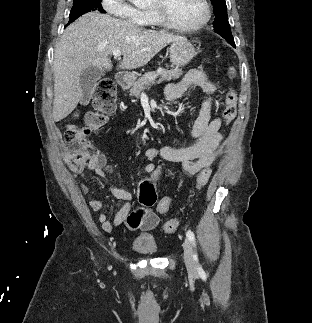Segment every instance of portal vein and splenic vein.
<instances>
[{"label":"portal vein and splenic vein","instance_id":"18ae733b","mask_svg":"<svg viewBox=\"0 0 312 323\" xmlns=\"http://www.w3.org/2000/svg\"><path fill=\"white\" fill-rule=\"evenodd\" d=\"M112 54L115 58H119V56H121L120 50H113ZM142 96H144V94H142Z\"/></svg>","mask_w":312,"mask_h":323}]
</instances>
